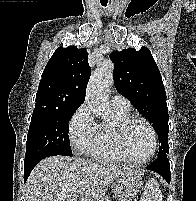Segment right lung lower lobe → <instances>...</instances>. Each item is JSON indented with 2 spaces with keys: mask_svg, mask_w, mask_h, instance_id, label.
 Returning a JSON list of instances; mask_svg holds the SVG:
<instances>
[{
  "mask_svg": "<svg viewBox=\"0 0 196 201\" xmlns=\"http://www.w3.org/2000/svg\"><path fill=\"white\" fill-rule=\"evenodd\" d=\"M58 154L55 153H45L43 155H39V156H34L28 160H25V165H24V182H26L30 172L32 171V169L35 167V165L41 161L42 159H44L45 157L48 156H55Z\"/></svg>",
  "mask_w": 196,
  "mask_h": 201,
  "instance_id": "obj_1",
  "label": "right lung lower lobe"
}]
</instances>
